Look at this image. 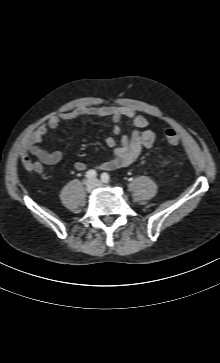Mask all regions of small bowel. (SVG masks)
I'll return each instance as SVG.
<instances>
[{"label":"small bowel","instance_id":"1","mask_svg":"<svg viewBox=\"0 0 220 363\" xmlns=\"http://www.w3.org/2000/svg\"><path fill=\"white\" fill-rule=\"evenodd\" d=\"M83 116L111 118L113 123L112 131L115 136L121 132L120 122L122 120L131 122L134 127V132L130 137L121 136L117 138L110 136L106 139L107 146L112 148L114 153L112 159L99 166L100 170H114L129 166L138 159L143 149L150 148L154 144L155 134L149 128L148 120L135 109L116 106L79 107L61 116L52 117L37 127L20 151L22 166L28 171L45 176L43 165L57 164L62 159L63 153L60 150L53 152L43 150L39 146L43 137L49 130L58 128L61 122L75 120ZM30 155L34 156L35 160L32 161ZM86 168V163L82 161L74 163V169L77 171H84Z\"/></svg>","mask_w":220,"mask_h":363}]
</instances>
